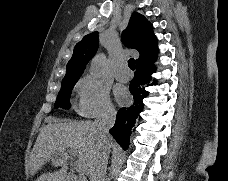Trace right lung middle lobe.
<instances>
[{
  "label": "right lung middle lobe",
  "instance_id": "dd1d6c3e",
  "mask_svg": "<svg viewBox=\"0 0 228 181\" xmlns=\"http://www.w3.org/2000/svg\"><path fill=\"white\" fill-rule=\"evenodd\" d=\"M77 80L75 81H65L61 84V90L59 91L58 97L55 102V108L62 107L64 109L70 108V95L74 85L76 84Z\"/></svg>",
  "mask_w": 228,
  "mask_h": 181
}]
</instances>
